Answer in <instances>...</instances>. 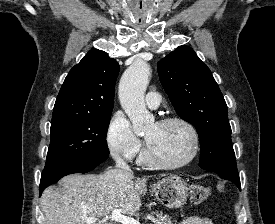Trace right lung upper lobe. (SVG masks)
<instances>
[{"mask_svg":"<svg viewBox=\"0 0 275 224\" xmlns=\"http://www.w3.org/2000/svg\"><path fill=\"white\" fill-rule=\"evenodd\" d=\"M120 66L106 52L90 50L68 73L57 96L53 117L112 113Z\"/></svg>","mask_w":275,"mask_h":224,"instance_id":"cb5924a9","label":"right lung upper lobe"}]
</instances>
